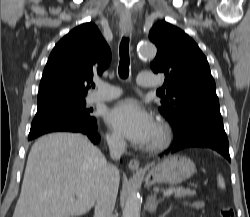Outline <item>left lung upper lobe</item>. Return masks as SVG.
<instances>
[{"label":"left lung upper lobe","instance_id":"left-lung-upper-lobe-1","mask_svg":"<svg viewBox=\"0 0 250 217\" xmlns=\"http://www.w3.org/2000/svg\"><path fill=\"white\" fill-rule=\"evenodd\" d=\"M157 46L150 67L165 75L161 114L173 125L188 111L219 106L215 81L208 61L198 45L181 29L166 21L157 22L149 34Z\"/></svg>","mask_w":250,"mask_h":217}]
</instances>
